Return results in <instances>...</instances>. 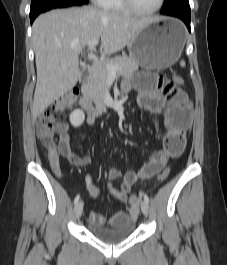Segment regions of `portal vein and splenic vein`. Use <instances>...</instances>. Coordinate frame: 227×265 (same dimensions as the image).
Returning <instances> with one entry per match:
<instances>
[{
    "instance_id": "1",
    "label": "portal vein and splenic vein",
    "mask_w": 227,
    "mask_h": 265,
    "mask_svg": "<svg viewBox=\"0 0 227 265\" xmlns=\"http://www.w3.org/2000/svg\"><path fill=\"white\" fill-rule=\"evenodd\" d=\"M99 40L98 39H94L90 42H88L87 46L89 49L94 48L97 44H98ZM88 58L92 59L94 62H98V58L96 57V55H94L93 53H88ZM121 68L119 66H115V65H108L107 66V71H108V75L109 76H116V73L120 70Z\"/></svg>"
}]
</instances>
